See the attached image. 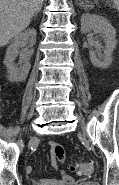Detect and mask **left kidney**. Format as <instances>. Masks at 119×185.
<instances>
[{"instance_id": "left-kidney-1", "label": "left kidney", "mask_w": 119, "mask_h": 185, "mask_svg": "<svg viewBox=\"0 0 119 185\" xmlns=\"http://www.w3.org/2000/svg\"><path fill=\"white\" fill-rule=\"evenodd\" d=\"M81 33L86 34L93 30L103 36L105 48L104 53L90 50L89 56L91 63L100 69L108 68L112 63V53L116 47V30L111 23L100 15L83 14L81 16Z\"/></svg>"}]
</instances>
